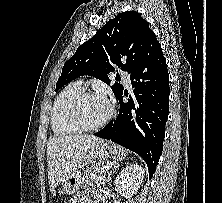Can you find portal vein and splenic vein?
<instances>
[{
    "instance_id": "obj_1",
    "label": "portal vein and splenic vein",
    "mask_w": 222,
    "mask_h": 203,
    "mask_svg": "<svg viewBox=\"0 0 222 203\" xmlns=\"http://www.w3.org/2000/svg\"><path fill=\"white\" fill-rule=\"evenodd\" d=\"M107 168H109V165L104 166V169L107 170Z\"/></svg>"
}]
</instances>
